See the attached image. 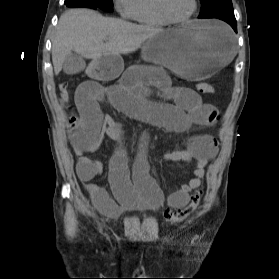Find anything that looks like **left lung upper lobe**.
<instances>
[{
    "label": "left lung upper lobe",
    "mask_w": 279,
    "mask_h": 279,
    "mask_svg": "<svg viewBox=\"0 0 279 279\" xmlns=\"http://www.w3.org/2000/svg\"><path fill=\"white\" fill-rule=\"evenodd\" d=\"M202 9L198 18H216L220 15L234 14L231 0H200Z\"/></svg>",
    "instance_id": "1"
}]
</instances>
